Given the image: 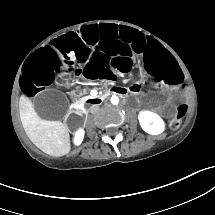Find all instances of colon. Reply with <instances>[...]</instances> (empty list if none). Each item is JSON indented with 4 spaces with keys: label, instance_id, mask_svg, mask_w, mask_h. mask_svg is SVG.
Instances as JSON below:
<instances>
[{
    "label": "colon",
    "instance_id": "obj_1",
    "mask_svg": "<svg viewBox=\"0 0 215 215\" xmlns=\"http://www.w3.org/2000/svg\"><path fill=\"white\" fill-rule=\"evenodd\" d=\"M187 111H188V106L186 104H180L176 108V112L170 122V125L172 128L175 129V128L180 127L182 120H183L184 116L186 115Z\"/></svg>",
    "mask_w": 215,
    "mask_h": 215
}]
</instances>
